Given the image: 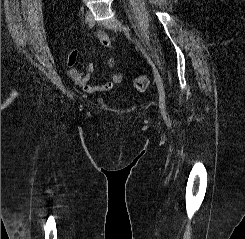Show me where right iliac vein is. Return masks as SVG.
I'll return each instance as SVG.
<instances>
[{
  "instance_id": "1",
  "label": "right iliac vein",
  "mask_w": 245,
  "mask_h": 239,
  "mask_svg": "<svg viewBox=\"0 0 245 239\" xmlns=\"http://www.w3.org/2000/svg\"><path fill=\"white\" fill-rule=\"evenodd\" d=\"M93 20V15L90 11H87L85 14V22L90 24Z\"/></svg>"
}]
</instances>
